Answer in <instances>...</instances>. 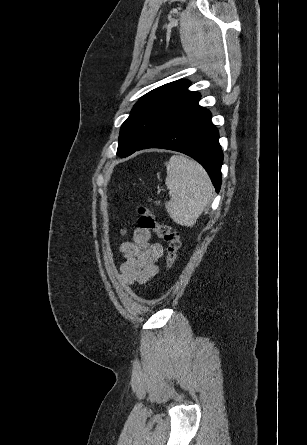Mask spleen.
Listing matches in <instances>:
<instances>
[{
    "instance_id": "spleen-1",
    "label": "spleen",
    "mask_w": 307,
    "mask_h": 445,
    "mask_svg": "<svg viewBox=\"0 0 307 445\" xmlns=\"http://www.w3.org/2000/svg\"><path fill=\"white\" fill-rule=\"evenodd\" d=\"M165 184L170 194L165 202L168 214L177 225L193 227L213 192L205 168L184 154H173L167 162Z\"/></svg>"
}]
</instances>
